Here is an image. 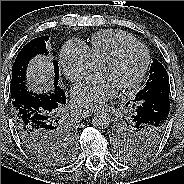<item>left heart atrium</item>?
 <instances>
[{
  "mask_svg": "<svg viewBox=\"0 0 184 184\" xmlns=\"http://www.w3.org/2000/svg\"><path fill=\"white\" fill-rule=\"evenodd\" d=\"M118 89L109 75L98 73L76 83L72 88V98L75 104L94 109L113 98Z\"/></svg>",
  "mask_w": 184,
  "mask_h": 184,
  "instance_id": "left-heart-atrium-1",
  "label": "left heart atrium"
}]
</instances>
